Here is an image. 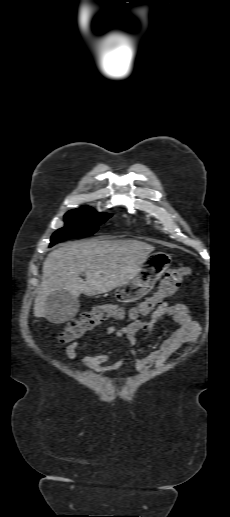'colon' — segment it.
I'll use <instances>...</instances> for the list:
<instances>
[{"label": "colon", "instance_id": "1", "mask_svg": "<svg viewBox=\"0 0 230 517\" xmlns=\"http://www.w3.org/2000/svg\"><path fill=\"white\" fill-rule=\"evenodd\" d=\"M190 274L189 268L180 266L166 272L157 291L143 299L130 309H125L117 303L101 304L88 312H84L78 319L71 320L59 334V340L69 343L84 337L89 331L108 319H136L152 313L165 299L172 297L182 285L185 277Z\"/></svg>", "mask_w": 230, "mask_h": 517}]
</instances>
